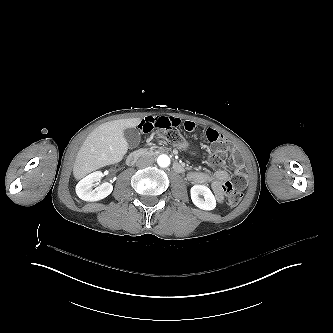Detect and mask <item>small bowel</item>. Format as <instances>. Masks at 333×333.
Here are the masks:
<instances>
[{
    "label": "small bowel",
    "mask_w": 333,
    "mask_h": 333,
    "mask_svg": "<svg viewBox=\"0 0 333 333\" xmlns=\"http://www.w3.org/2000/svg\"><path fill=\"white\" fill-rule=\"evenodd\" d=\"M181 123L180 119L174 117H147L141 122V129L144 132H149L153 128L177 127ZM184 127L188 131L195 129V123L192 121H185ZM206 137L209 142L217 141L210 146V151L213 154L226 155V152H231L234 149V144L231 141H223L224 135L216 132L213 129L206 131ZM243 155L240 152H235L232 155V167L235 175L244 174ZM209 163L212 166H218L221 163V158L218 155H212L209 158ZM188 179L194 183L208 184L218 202L224 199V187L230 181L229 174L225 170H217L215 173L192 171L188 174Z\"/></svg>",
    "instance_id": "small-bowel-1"
}]
</instances>
